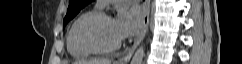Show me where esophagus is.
<instances>
[{
    "label": "esophagus",
    "instance_id": "esophagus-1",
    "mask_svg": "<svg viewBox=\"0 0 242 64\" xmlns=\"http://www.w3.org/2000/svg\"><path fill=\"white\" fill-rule=\"evenodd\" d=\"M149 14H150V0H145V2L143 4V27H142V30H141L139 36L137 37L136 41L132 45V47L129 48L127 50L126 54L122 58L119 59V61H118L119 64H127L130 61L135 49L137 48V46L140 44V42L145 37L147 29H148V25H149Z\"/></svg>",
    "mask_w": 242,
    "mask_h": 64
}]
</instances>
